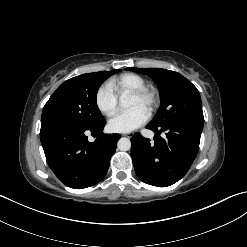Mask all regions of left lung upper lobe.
Returning a JSON list of instances; mask_svg holds the SVG:
<instances>
[{"instance_id":"obj_1","label":"left lung upper lobe","mask_w":247,"mask_h":247,"mask_svg":"<svg viewBox=\"0 0 247 247\" xmlns=\"http://www.w3.org/2000/svg\"><path fill=\"white\" fill-rule=\"evenodd\" d=\"M126 70L147 74L158 85L161 105L149 124L163 126L176 119L204 123L199 91L181 74L160 68H126Z\"/></svg>"}]
</instances>
